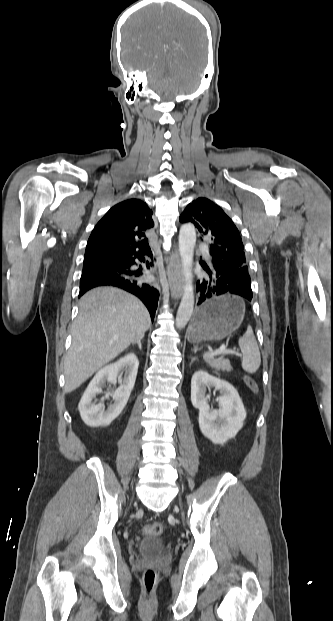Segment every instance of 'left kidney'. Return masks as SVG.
<instances>
[{"label": "left kidney", "mask_w": 333, "mask_h": 621, "mask_svg": "<svg viewBox=\"0 0 333 621\" xmlns=\"http://www.w3.org/2000/svg\"><path fill=\"white\" fill-rule=\"evenodd\" d=\"M215 388L219 409H211L206 390ZM191 402L199 410V428L215 444H224L243 427L246 411L237 390L228 382L200 370L191 379Z\"/></svg>", "instance_id": "left-kidney-1"}]
</instances>
